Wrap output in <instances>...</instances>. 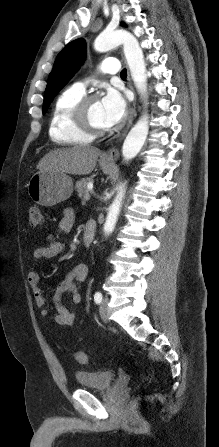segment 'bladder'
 <instances>
[{
	"label": "bladder",
	"mask_w": 219,
	"mask_h": 447,
	"mask_svg": "<svg viewBox=\"0 0 219 447\" xmlns=\"http://www.w3.org/2000/svg\"><path fill=\"white\" fill-rule=\"evenodd\" d=\"M116 378V374L108 370L99 371H76L75 382L82 388L88 390H107Z\"/></svg>",
	"instance_id": "1"
}]
</instances>
